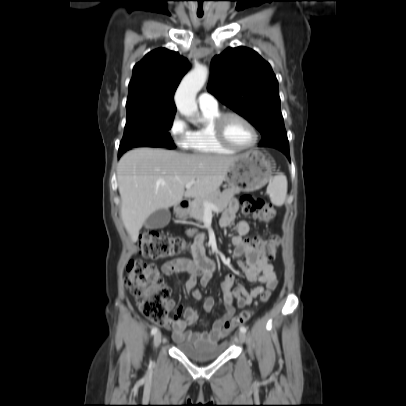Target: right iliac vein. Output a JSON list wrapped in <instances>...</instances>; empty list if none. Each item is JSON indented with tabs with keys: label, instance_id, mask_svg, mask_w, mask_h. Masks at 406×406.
<instances>
[{
	"label": "right iliac vein",
	"instance_id": "right-iliac-vein-1",
	"mask_svg": "<svg viewBox=\"0 0 406 406\" xmlns=\"http://www.w3.org/2000/svg\"><path fill=\"white\" fill-rule=\"evenodd\" d=\"M161 342H162V334H161V332H157V333L154 335V339H153L154 347H155V348H158L159 345L161 344Z\"/></svg>",
	"mask_w": 406,
	"mask_h": 406
}]
</instances>
